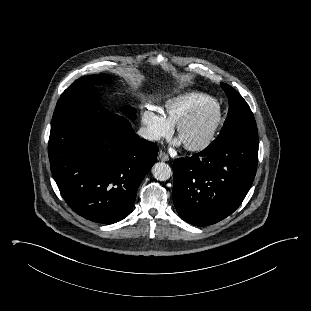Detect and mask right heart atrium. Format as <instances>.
Wrapping results in <instances>:
<instances>
[{"label": "right heart atrium", "mask_w": 311, "mask_h": 311, "mask_svg": "<svg viewBox=\"0 0 311 311\" xmlns=\"http://www.w3.org/2000/svg\"><path fill=\"white\" fill-rule=\"evenodd\" d=\"M141 122L145 137L150 141H158L171 134L172 126L160 113L146 109L141 113Z\"/></svg>", "instance_id": "d8ad5b80"}]
</instances>
